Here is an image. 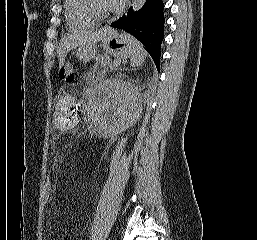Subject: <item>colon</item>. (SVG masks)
<instances>
[{
	"label": "colon",
	"mask_w": 257,
	"mask_h": 240,
	"mask_svg": "<svg viewBox=\"0 0 257 240\" xmlns=\"http://www.w3.org/2000/svg\"><path fill=\"white\" fill-rule=\"evenodd\" d=\"M76 69L72 62H66L60 72L61 78L66 82H72L75 79ZM53 195V184L49 177L45 180L44 185V198L46 204H50Z\"/></svg>",
	"instance_id": "1"
}]
</instances>
